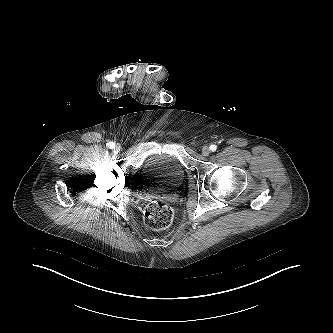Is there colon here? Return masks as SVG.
I'll use <instances>...</instances> for the list:
<instances>
[{"mask_svg":"<svg viewBox=\"0 0 333 333\" xmlns=\"http://www.w3.org/2000/svg\"><path fill=\"white\" fill-rule=\"evenodd\" d=\"M174 217L173 209L163 202L148 204L143 213L145 224L154 230H163L169 227Z\"/></svg>","mask_w":333,"mask_h":333,"instance_id":"obj_1","label":"colon"}]
</instances>
